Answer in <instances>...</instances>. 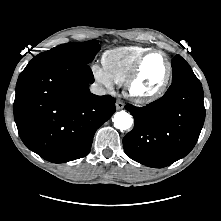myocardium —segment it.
Wrapping results in <instances>:
<instances>
[{
	"instance_id": "1",
	"label": "myocardium",
	"mask_w": 221,
	"mask_h": 221,
	"mask_svg": "<svg viewBox=\"0 0 221 221\" xmlns=\"http://www.w3.org/2000/svg\"><path fill=\"white\" fill-rule=\"evenodd\" d=\"M154 53H159L164 56L166 63H167L166 75H165L162 83L160 84V86L155 91L150 92V93L138 92L135 87H136V83L138 81V78L140 76L143 63L150 55H152ZM172 72H173V65H172L171 59L169 58L168 54L160 49H149L148 51L143 53L138 58V60L134 64L131 72L129 73V75L125 81V84H124L125 89H126V93L131 99H133L137 103L153 102V101L159 99L160 97H162L163 94L166 92L169 82H170V79H171V76H172Z\"/></svg>"
}]
</instances>
